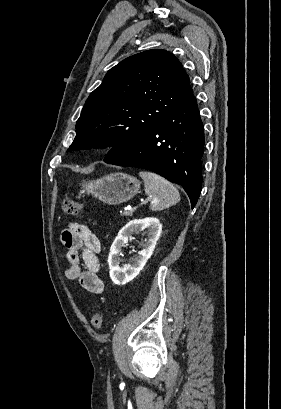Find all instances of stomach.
Returning <instances> with one entry per match:
<instances>
[{
  "label": "stomach",
  "mask_w": 281,
  "mask_h": 409,
  "mask_svg": "<svg viewBox=\"0 0 281 409\" xmlns=\"http://www.w3.org/2000/svg\"><path fill=\"white\" fill-rule=\"evenodd\" d=\"M82 192L97 196L106 205H121L140 192V180L125 172H111L97 180H82Z\"/></svg>",
  "instance_id": "1"
}]
</instances>
